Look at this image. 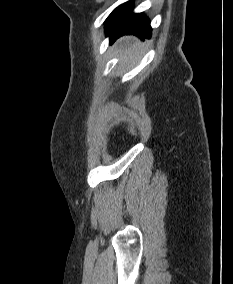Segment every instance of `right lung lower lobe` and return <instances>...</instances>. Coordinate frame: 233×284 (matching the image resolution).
<instances>
[{
    "instance_id": "98d812e1",
    "label": "right lung lower lobe",
    "mask_w": 233,
    "mask_h": 284,
    "mask_svg": "<svg viewBox=\"0 0 233 284\" xmlns=\"http://www.w3.org/2000/svg\"><path fill=\"white\" fill-rule=\"evenodd\" d=\"M132 2H126L117 7L106 19V34L110 43L126 34H134L142 40L151 37L150 22L143 14L131 11Z\"/></svg>"
}]
</instances>
